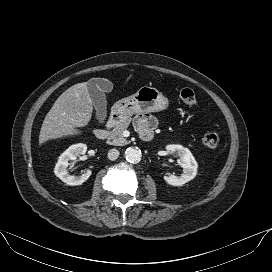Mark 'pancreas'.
I'll return each instance as SVG.
<instances>
[{
  "mask_svg": "<svg viewBox=\"0 0 272 272\" xmlns=\"http://www.w3.org/2000/svg\"><path fill=\"white\" fill-rule=\"evenodd\" d=\"M132 118H127L122 122L116 124L112 131L109 132L107 143L115 146H123L128 144L126 138L123 136V132L129 127Z\"/></svg>",
  "mask_w": 272,
  "mask_h": 272,
  "instance_id": "pancreas-1",
  "label": "pancreas"
}]
</instances>
